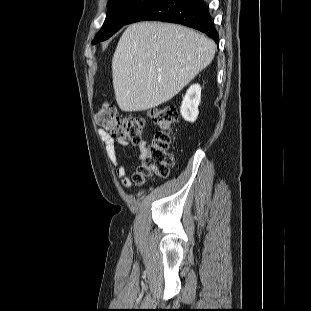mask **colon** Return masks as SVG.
<instances>
[{
  "label": "colon",
  "mask_w": 311,
  "mask_h": 311,
  "mask_svg": "<svg viewBox=\"0 0 311 311\" xmlns=\"http://www.w3.org/2000/svg\"><path fill=\"white\" fill-rule=\"evenodd\" d=\"M150 118L157 125L158 131L134 175L136 184L142 183L152 175L166 177L173 162L170 146L173 125L177 119L176 110L168 105L160 106L150 112ZM95 120L100 127L112 133H121L124 138L133 143H139L142 140L145 130L144 118L122 117L112 104H103L97 111Z\"/></svg>",
  "instance_id": "colon-1"
}]
</instances>
